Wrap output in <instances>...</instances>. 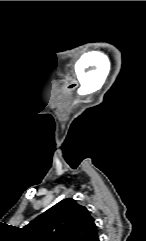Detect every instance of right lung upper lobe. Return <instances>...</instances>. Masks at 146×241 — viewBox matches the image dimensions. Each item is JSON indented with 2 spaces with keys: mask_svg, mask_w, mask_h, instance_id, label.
<instances>
[{
  "mask_svg": "<svg viewBox=\"0 0 146 241\" xmlns=\"http://www.w3.org/2000/svg\"><path fill=\"white\" fill-rule=\"evenodd\" d=\"M30 241H99L86 207L64 199L24 227Z\"/></svg>",
  "mask_w": 146,
  "mask_h": 241,
  "instance_id": "1",
  "label": "right lung upper lobe"
}]
</instances>
